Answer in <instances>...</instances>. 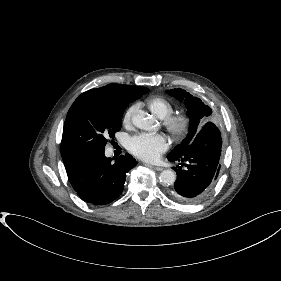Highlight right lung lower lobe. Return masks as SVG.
<instances>
[{
	"instance_id": "obj_1",
	"label": "right lung lower lobe",
	"mask_w": 281,
	"mask_h": 281,
	"mask_svg": "<svg viewBox=\"0 0 281 281\" xmlns=\"http://www.w3.org/2000/svg\"><path fill=\"white\" fill-rule=\"evenodd\" d=\"M137 165L128 153L112 159L104 151L88 154L65 167L78 196L87 203L103 205L117 199L123 191L126 173Z\"/></svg>"
}]
</instances>
